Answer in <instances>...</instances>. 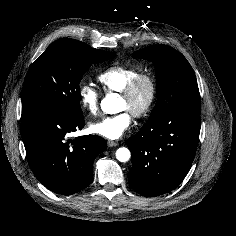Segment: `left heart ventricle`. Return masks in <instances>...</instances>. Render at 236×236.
I'll list each match as a JSON object with an SVG mask.
<instances>
[{"mask_svg": "<svg viewBox=\"0 0 236 236\" xmlns=\"http://www.w3.org/2000/svg\"><path fill=\"white\" fill-rule=\"evenodd\" d=\"M148 97V87L145 83H142L132 98L124 99L122 97L119 98L118 101V109L119 110H126L130 113L133 111L141 108Z\"/></svg>", "mask_w": 236, "mask_h": 236, "instance_id": "obj_1", "label": "left heart ventricle"}]
</instances>
